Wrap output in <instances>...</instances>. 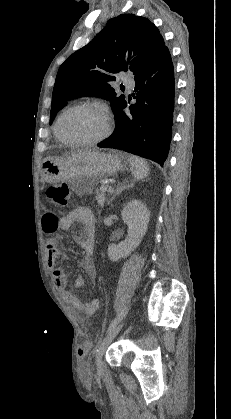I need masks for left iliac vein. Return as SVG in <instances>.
Wrapping results in <instances>:
<instances>
[{"instance_id":"4c4485c4","label":"left iliac vein","mask_w":231,"mask_h":419,"mask_svg":"<svg viewBox=\"0 0 231 419\" xmlns=\"http://www.w3.org/2000/svg\"><path fill=\"white\" fill-rule=\"evenodd\" d=\"M125 322L121 323L120 325H118L117 327H115L113 330H111L106 337L103 339L97 353H96V364H97V370L98 372L101 374L103 373L104 370V365H103V355L107 349V347L109 346V344L112 342V340L117 336V334L122 330V328L124 327Z\"/></svg>"}]
</instances>
